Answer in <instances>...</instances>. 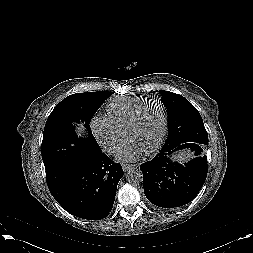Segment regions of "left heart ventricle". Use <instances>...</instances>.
I'll return each instance as SVG.
<instances>
[{
    "instance_id": "left-heart-ventricle-1",
    "label": "left heart ventricle",
    "mask_w": 253,
    "mask_h": 253,
    "mask_svg": "<svg viewBox=\"0 0 253 253\" xmlns=\"http://www.w3.org/2000/svg\"><path fill=\"white\" fill-rule=\"evenodd\" d=\"M163 124V112L159 104H150L142 112L135 127L127 134L129 140H134L145 150L158 139Z\"/></svg>"
}]
</instances>
